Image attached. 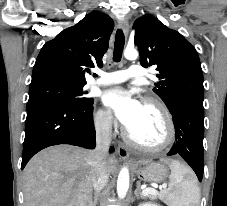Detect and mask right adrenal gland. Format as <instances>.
I'll return each instance as SVG.
<instances>
[{
	"mask_svg": "<svg viewBox=\"0 0 227 206\" xmlns=\"http://www.w3.org/2000/svg\"><path fill=\"white\" fill-rule=\"evenodd\" d=\"M98 203V193L95 194V197H94V202H93V205L92 206H96Z\"/></svg>",
	"mask_w": 227,
	"mask_h": 206,
	"instance_id": "right-adrenal-gland-1",
	"label": "right adrenal gland"
}]
</instances>
